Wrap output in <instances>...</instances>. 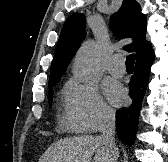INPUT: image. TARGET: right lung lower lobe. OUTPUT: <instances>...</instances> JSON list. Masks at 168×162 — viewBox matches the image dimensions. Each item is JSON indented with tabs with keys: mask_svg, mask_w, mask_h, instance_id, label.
<instances>
[{
	"mask_svg": "<svg viewBox=\"0 0 168 162\" xmlns=\"http://www.w3.org/2000/svg\"><path fill=\"white\" fill-rule=\"evenodd\" d=\"M155 58L154 52L136 60L134 75L129 83L131 106L120 108L116 116L117 135L125 144L133 145L137 132L142 100L148 85L150 67Z\"/></svg>",
	"mask_w": 168,
	"mask_h": 162,
	"instance_id": "98d812e1",
	"label": "right lung lower lobe"
}]
</instances>
